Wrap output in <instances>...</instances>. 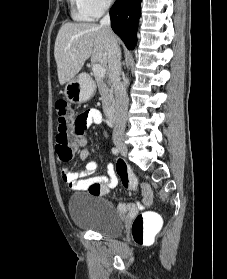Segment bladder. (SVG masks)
I'll return each mask as SVG.
<instances>
[{
	"label": "bladder",
	"instance_id": "1",
	"mask_svg": "<svg viewBox=\"0 0 227 279\" xmlns=\"http://www.w3.org/2000/svg\"><path fill=\"white\" fill-rule=\"evenodd\" d=\"M68 213L75 225L103 236L115 238L123 232L122 218L99 193L72 195Z\"/></svg>",
	"mask_w": 227,
	"mask_h": 279
}]
</instances>
